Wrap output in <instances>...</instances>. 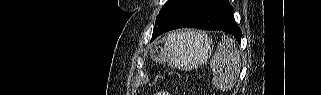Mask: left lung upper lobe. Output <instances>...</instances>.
Listing matches in <instances>:
<instances>
[{
    "instance_id": "obj_1",
    "label": "left lung upper lobe",
    "mask_w": 321,
    "mask_h": 95,
    "mask_svg": "<svg viewBox=\"0 0 321 95\" xmlns=\"http://www.w3.org/2000/svg\"><path fill=\"white\" fill-rule=\"evenodd\" d=\"M173 0H168L165 5L163 6V8L160 10L159 15L156 18V22L155 25L157 26L160 22V20L162 19L163 15L166 13V11L168 10V8L170 7V5L172 4ZM156 27H154L155 29Z\"/></svg>"
}]
</instances>
